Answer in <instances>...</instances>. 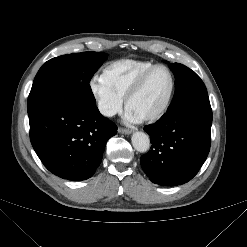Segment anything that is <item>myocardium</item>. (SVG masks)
Instances as JSON below:
<instances>
[{
  "label": "myocardium",
  "instance_id": "obj_1",
  "mask_svg": "<svg viewBox=\"0 0 247 247\" xmlns=\"http://www.w3.org/2000/svg\"><path fill=\"white\" fill-rule=\"evenodd\" d=\"M159 68L165 69L167 71V73L169 74L170 90H169V93H168L164 103L161 105V107L159 109H157L156 111L152 112L151 114L144 116L142 121H156V120H158L159 118H161L164 115V113L167 111L168 107L170 106V103L173 99V95L175 92V79H174V76H173V73L171 72V70L166 65H163V64H155V65L151 66L150 68H148L146 71H144L139 76V78L130 87V89L128 90V92L125 96V102H126V108H127V107H129L130 101L136 95H138L141 92V90L145 86V83L148 80L149 76L156 69H159Z\"/></svg>",
  "mask_w": 247,
  "mask_h": 247
}]
</instances>
